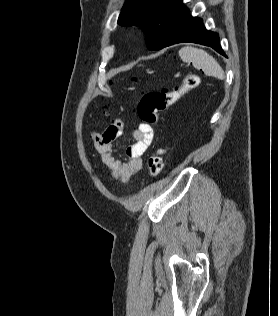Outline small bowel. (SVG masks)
<instances>
[{
	"instance_id": "1",
	"label": "small bowel",
	"mask_w": 278,
	"mask_h": 316,
	"mask_svg": "<svg viewBox=\"0 0 278 316\" xmlns=\"http://www.w3.org/2000/svg\"><path fill=\"white\" fill-rule=\"evenodd\" d=\"M123 122L114 119L103 133L93 135L94 148L99 153L103 164L111 176L123 183L129 181L142 168V156L151 145L154 130L151 125L141 122L133 132V143L125 149V158H117L114 154V141L122 135Z\"/></svg>"
}]
</instances>
